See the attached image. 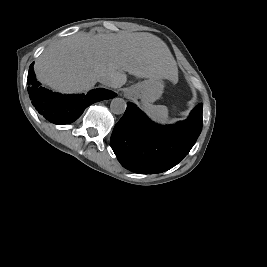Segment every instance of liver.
I'll use <instances>...</instances> for the list:
<instances>
[{
    "instance_id": "1",
    "label": "liver",
    "mask_w": 267,
    "mask_h": 267,
    "mask_svg": "<svg viewBox=\"0 0 267 267\" xmlns=\"http://www.w3.org/2000/svg\"><path fill=\"white\" fill-rule=\"evenodd\" d=\"M34 71L41 83L61 93L89 90L102 76L114 81L113 88H120L127 81L125 72L170 81L178 76L168 46L147 32H78L45 48L35 61Z\"/></svg>"
}]
</instances>
